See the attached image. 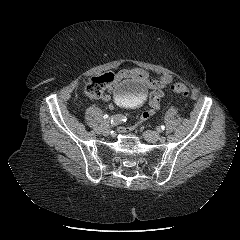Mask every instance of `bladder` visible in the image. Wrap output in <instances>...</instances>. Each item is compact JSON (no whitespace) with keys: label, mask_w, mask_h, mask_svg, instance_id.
Listing matches in <instances>:
<instances>
[{"label":"bladder","mask_w":240,"mask_h":240,"mask_svg":"<svg viewBox=\"0 0 240 240\" xmlns=\"http://www.w3.org/2000/svg\"><path fill=\"white\" fill-rule=\"evenodd\" d=\"M145 87L136 80H124L115 88L118 102L124 106H134L144 96Z\"/></svg>","instance_id":"bladder-1"}]
</instances>
